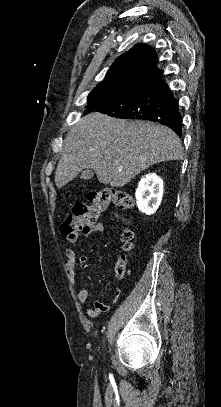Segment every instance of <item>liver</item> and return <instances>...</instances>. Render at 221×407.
<instances>
[{
	"instance_id": "6515ba94",
	"label": "liver",
	"mask_w": 221,
	"mask_h": 407,
	"mask_svg": "<svg viewBox=\"0 0 221 407\" xmlns=\"http://www.w3.org/2000/svg\"><path fill=\"white\" fill-rule=\"evenodd\" d=\"M61 152L55 171L58 188L86 168L95 171L100 183L123 187L154 164L183 158L182 142L168 127L99 112L86 115L72 126Z\"/></svg>"
}]
</instances>
